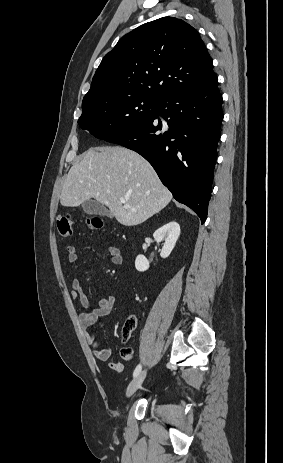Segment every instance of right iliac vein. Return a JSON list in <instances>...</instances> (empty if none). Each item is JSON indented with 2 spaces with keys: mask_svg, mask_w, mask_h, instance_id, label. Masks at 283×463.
Segmentation results:
<instances>
[{
  "mask_svg": "<svg viewBox=\"0 0 283 463\" xmlns=\"http://www.w3.org/2000/svg\"><path fill=\"white\" fill-rule=\"evenodd\" d=\"M146 377V371L140 372L129 384L127 391H126V396L131 397L137 390L138 388L142 385L144 379Z\"/></svg>",
  "mask_w": 283,
  "mask_h": 463,
  "instance_id": "1",
  "label": "right iliac vein"
}]
</instances>
